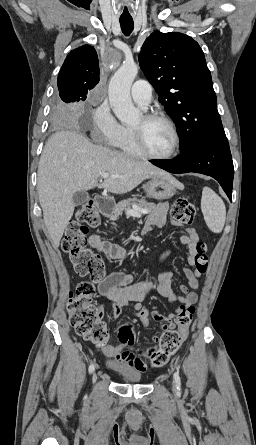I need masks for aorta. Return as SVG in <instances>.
Wrapping results in <instances>:
<instances>
[{"mask_svg": "<svg viewBox=\"0 0 256 445\" xmlns=\"http://www.w3.org/2000/svg\"><path fill=\"white\" fill-rule=\"evenodd\" d=\"M138 74L134 62H125L113 75L109 83L108 96L115 116L120 122L129 124L139 118V110L132 103L130 89Z\"/></svg>", "mask_w": 256, "mask_h": 445, "instance_id": "aorta-1", "label": "aorta"}]
</instances>
